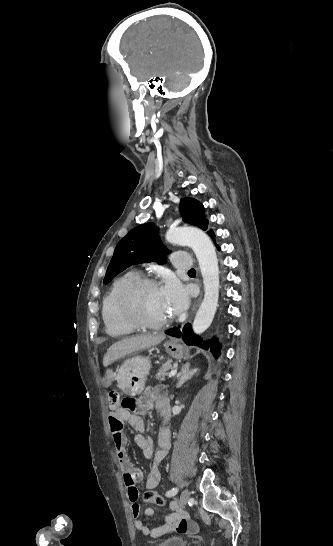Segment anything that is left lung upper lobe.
I'll list each match as a JSON object with an SVG mask.
<instances>
[{
    "label": "left lung upper lobe",
    "instance_id": "left-lung-upper-lobe-1",
    "mask_svg": "<svg viewBox=\"0 0 333 546\" xmlns=\"http://www.w3.org/2000/svg\"><path fill=\"white\" fill-rule=\"evenodd\" d=\"M183 221L203 230L207 229L208 219L203 205L192 198H183L180 202ZM161 243L158 228L152 223H145L132 229L116 246L108 265L104 284L131 265L156 261L165 264V255L169 253Z\"/></svg>",
    "mask_w": 333,
    "mask_h": 546
}]
</instances>
